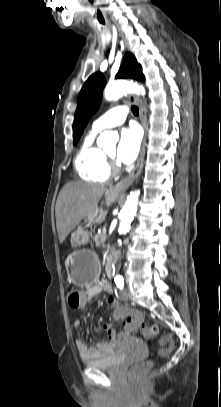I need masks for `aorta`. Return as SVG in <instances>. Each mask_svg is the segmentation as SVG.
I'll return each instance as SVG.
<instances>
[{"instance_id": "aorta-1", "label": "aorta", "mask_w": 221, "mask_h": 407, "mask_svg": "<svg viewBox=\"0 0 221 407\" xmlns=\"http://www.w3.org/2000/svg\"><path fill=\"white\" fill-rule=\"evenodd\" d=\"M137 93V94H145V89L142 86H139L136 83L133 82H128V81H116L113 83H109L105 90H104V96L106 100L112 101L120 98L121 96L127 94V93ZM110 135L109 132H104L100 134L98 138V142L102 143L106 141V138H108ZM139 195L140 191H132L127 197V200L120 211L119 217H120V225L118 228V233L125 234L130 230V225L131 222L136 215L137 212V207H138V201H139ZM119 245L122 244L121 240H118ZM120 279V275H117L115 277V280Z\"/></svg>"}]
</instances>
